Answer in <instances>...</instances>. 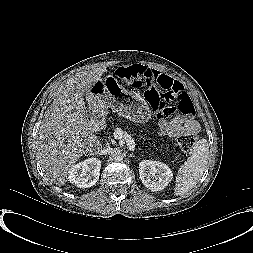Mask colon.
<instances>
[{"mask_svg": "<svg viewBox=\"0 0 253 253\" xmlns=\"http://www.w3.org/2000/svg\"><path fill=\"white\" fill-rule=\"evenodd\" d=\"M116 76L131 88L148 87L146 99L153 113L160 118L168 119L177 112L188 116L194 111L193 102L182 86L171 87L155 77L151 80L148 69L144 66L138 64L122 66L117 69ZM197 139L194 132L181 134L177 140L178 146L183 152H187L192 149Z\"/></svg>", "mask_w": 253, "mask_h": 253, "instance_id": "1", "label": "colon"}]
</instances>
